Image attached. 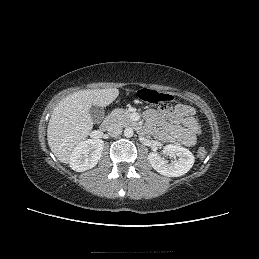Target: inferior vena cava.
I'll return each instance as SVG.
<instances>
[{
    "instance_id": "inferior-vena-cava-1",
    "label": "inferior vena cava",
    "mask_w": 259,
    "mask_h": 259,
    "mask_svg": "<svg viewBox=\"0 0 259 259\" xmlns=\"http://www.w3.org/2000/svg\"><path fill=\"white\" fill-rule=\"evenodd\" d=\"M107 133L112 137H116L122 133V126L112 123L108 126Z\"/></svg>"
}]
</instances>
